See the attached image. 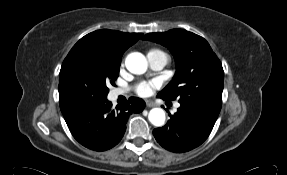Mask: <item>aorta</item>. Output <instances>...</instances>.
Instances as JSON below:
<instances>
[{"label":"aorta","instance_id":"aorta-1","mask_svg":"<svg viewBox=\"0 0 287 175\" xmlns=\"http://www.w3.org/2000/svg\"><path fill=\"white\" fill-rule=\"evenodd\" d=\"M125 65L133 74L145 73L148 66L145 56L139 52L128 54ZM148 119L154 126L161 127L165 123V111L162 108H153L149 112Z\"/></svg>","mask_w":287,"mask_h":175}]
</instances>
